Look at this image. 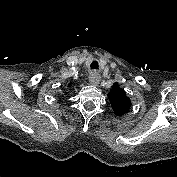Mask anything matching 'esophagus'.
<instances>
[{
  "label": "esophagus",
  "instance_id": "obj_1",
  "mask_svg": "<svg viewBox=\"0 0 177 177\" xmlns=\"http://www.w3.org/2000/svg\"><path fill=\"white\" fill-rule=\"evenodd\" d=\"M100 79H101V77L96 70H93L89 73V82L92 85H98L100 82Z\"/></svg>",
  "mask_w": 177,
  "mask_h": 177
}]
</instances>
